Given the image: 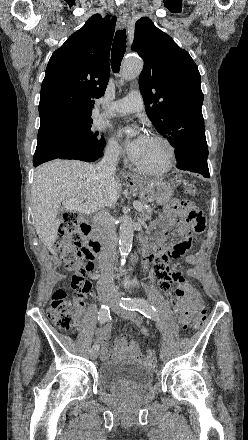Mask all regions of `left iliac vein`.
<instances>
[{"mask_svg":"<svg viewBox=\"0 0 248 440\" xmlns=\"http://www.w3.org/2000/svg\"><path fill=\"white\" fill-rule=\"evenodd\" d=\"M111 308L120 317L125 318V319H133V314L131 312L124 310L122 307H120L118 300H113V302L111 304ZM160 358L163 361L168 360L169 353H168V350L166 347H162V349L160 351Z\"/></svg>","mask_w":248,"mask_h":440,"instance_id":"1","label":"left iliac vein"}]
</instances>
